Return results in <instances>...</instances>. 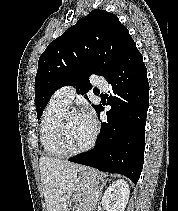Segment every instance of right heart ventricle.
<instances>
[{
    "mask_svg": "<svg viewBox=\"0 0 178 211\" xmlns=\"http://www.w3.org/2000/svg\"><path fill=\"white\" fill-rule=\"evenodd\" d=\"M69 105L56 94L48 102L41 121V143L45 153L51 157L64 156L57 145V136L64 113Z\"/></svg>",
    "mask_w": 178,
    "mask_h": 211,
    "instance_id": "obj_1",
    "label": "right heart ventricle"
}]
</instances>
